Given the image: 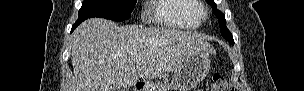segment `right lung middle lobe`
<instances>
[{"instance_id": "dd1d6c3e", "label": "right lung middle lobe", "mask_w": 304, "mask_h": 91, "mask_svg": "<svg viewBox=\"0 0 304 91\" xmlns=\"http://www.w3.org/2000/svg\"><path fill=\"white\" fill-rule=\"evenodd\" d=\"M137 0H84L79 10V21L100 17L123 21L131 16Z\"/></svg>"}]
</instances>
